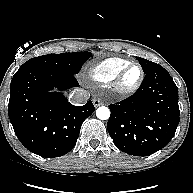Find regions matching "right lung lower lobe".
Wrapping results in <instances>:
<instances>
[{
	"mask_svg": "<svg viewBox=\"0 0 193 193\" xmlns=\"http://www.w3.org/2000/svg\"><path fill=\"white\" fill-rule=\"evenodd\" d=\"M79 86L74 75L33 69L11 81L9 118L20 142L43 157H59L76 144L83 121L95 110L91 101L74 106L59 91Z\"/></svg>",
	"mask_w": 193,
	"mask_h": 193,
	"instance_id": "right-lung-lower-lobe-1",
	"label": "right lung lower lobe"
}]
</instances>
